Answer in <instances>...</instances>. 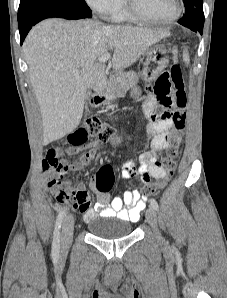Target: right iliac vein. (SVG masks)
<instances>
[{
    "instance_id": "right-iliac-vein-1",
    "label": "right iliac vein",
    "mask_w": 227,
    "mask_h": 298,
    "mask_svg": "<svg viewBox=\"0 0 227 298\" xmlns=\"http://www.w3.org/2000/svg\"><path fill=\"white\" fill-rule=\"evenodd\" d=\"M74 230V217L72 215H68L65 217L62 224V233H61V247L62 249H66L72 242Z\"/></svg>"
}]
</instances>
